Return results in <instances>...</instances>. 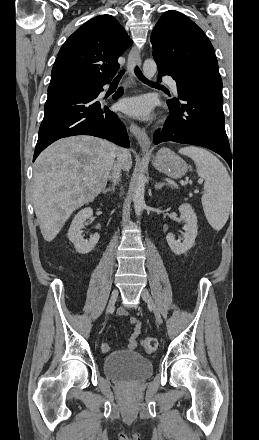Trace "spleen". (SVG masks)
Listing matches in <instances>:
<instances>
[{"mask_svg": "<svg viewBox=\"0 0 259 440\" xmlns=\"http://www.w3.org/2000/svg\"><path fill=\"white\" fill-rule=\"evenodd\" d=\"M179 153L190 157L196 164L199 177L204 179L202 206L211 227L219 231L228 220L232 203V180L222 162L209 151L188 146Z\"/></svg>", "mask_w": 259, "mask_h": 440, "instance_id": "1", "label": "spleen"}]
</instances>
